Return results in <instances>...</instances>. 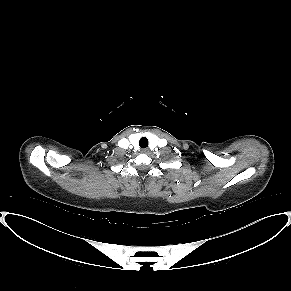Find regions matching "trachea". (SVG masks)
I'll list each match as a JSON object with an SVG mask.
<instances>
[{
	"label": "trachea",
	"instance_id": "1",
	"mask_svg": "<svg viewBox=\"0 0 291 291\" xmlns=\"http://www.w3.org/2000/svg\"><path fill=\"white\" fill-rule=\"evenodd\" d=\"M139 145L141 148H146L148 146V139L146 137H142L139 141Z\"/></svg>",
	"mask_w": 291,
	"mask_h": 291
}]
</instances>
